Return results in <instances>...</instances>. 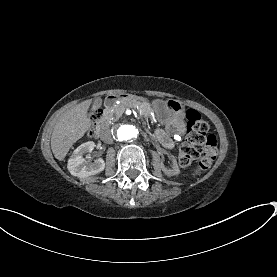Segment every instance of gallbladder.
<instances>
[{"mask_svg": "<svg viewBox=\"0 0 277 277\" xmlns=\"http://www.w3.org/2000/svg\"><path fill=\"white\" fill-rule=\"evenodd\" d=\"M96 104H101V99H96Z\"/></svg>", "mask_w": 277, "mask_h": 277, "instance_id": "1", "label": "gallbladder"}]
</instances>
